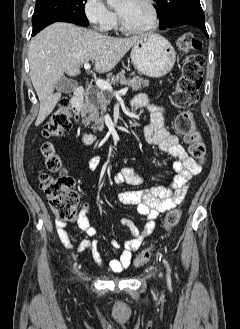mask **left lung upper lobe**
Listing matches in <instances>:
<instances>
[{
	"label": "left lung upper lobe",
	"mask_w": 240,
	"mask_h": 329,
	"mask_svg": "<svg viewBox=\"0 0 240 329\" xmlns=\"http://www.w3.org/2000/svg\"><path fill=\"white\" fill-rule=\"evenodd\" d=\"M157 14L160 18V29L179 20L205 21L200 0H155Z\"/></svg>",
	"instance_id": "left-lung-upper-lobe-1"
}]
</instances>
